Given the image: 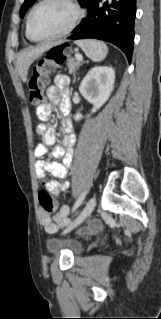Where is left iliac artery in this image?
<instances>
[{
	"label": "left iliac artery",
	"mask_w": 161,
	"mask_h": 319,
	"mask_svg": "<svg viewBox=\"0 0 161 319\" xmlns=\"http://www.w3.org/2000/svg\"><path fill=\"white\" fill-rule=\"evenodd\" d=\"M87 194V191H84L80 196L79 198L76 200L73 208H72V212H74L84 201L85 199V196Z\"/></svg>",
	"instance_id": "obj_1"
}]
</instances>
